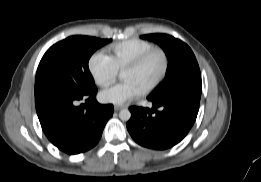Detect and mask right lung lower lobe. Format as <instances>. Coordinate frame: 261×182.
<instances>
[{"instance_id":"98d812e1","label":"right lung lower lobe","mask_w":261,"mask_h":182,"mask_svg":"<svg viewBox=\"0 0 261 182\" xmlns=\"http://www.w3.org/2000/svg\"><path fill=\"white\" fill-rule=\"evenodd\" d=\"M97 92V91H96ZM96 92L85 100L86 105L75 106L82 100L63 90H50L35 96L41 127L47 138L67 154H78L93 148L104 126L113 115V105H101Z\"/></svg>"}]
</instances>
